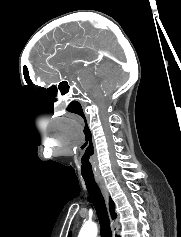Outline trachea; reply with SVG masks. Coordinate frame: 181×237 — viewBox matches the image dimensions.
Segmentation results:
<instances>
[{"label": "trachea", "mask_w": 181, "mask_h": 237, "mask_svg": "<svg viewBox=\"0 0 181 237\" xmlns=\"http://www.w3.org/2000/svg\"><path fill=\"white\" fill-rule=\"evenodd\" d=\"M89 196L94 204L101 227V237H112L110 220L102 193L94 178L83 177Z\"/></svg>", "instance_id": "trachea-1"}]
</instances>
